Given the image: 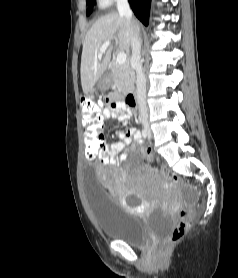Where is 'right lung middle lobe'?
Segmentation results:
<instances>
[{
	"mask_svg": "<svg viewBox=\"0 0 238 278\" xmlns=\"http://www.w3.org/2000/svg\"><path fill=\"white\" fill-rule=\"evenodd\" d=\"M95 0H87V4L88 5H90V6H92V5H94V2ZM87 14L89 15V12H87Z\"/></svg>",
	"mask_w": 238,
	"mask_h": 278,
	"instance_id": "1",
	"label": "right lung middle lobe"
}]
</instances>
